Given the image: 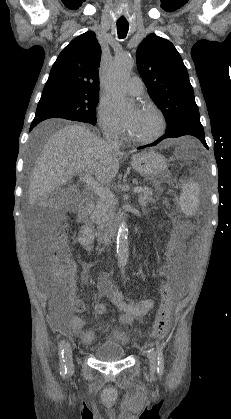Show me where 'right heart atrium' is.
Here are the masks:
<instances>
[{"label":"right heart atrium","mask_w":231,"mask_h":419,"mask_svg":"<svg viewBox=\"0 0 231 419\" xmlns=\"http://www.w3.org/2000/svg\"><path fill=\"white\" fill-rule=\"evenodd\" d=\"M97 117L103 132L108 136H120L124 132L121 120L115 115L111 105L106 100H100L97 106Z\"/></svg>","instance_id":"right-heart-atrium-1"}]
</instances>
